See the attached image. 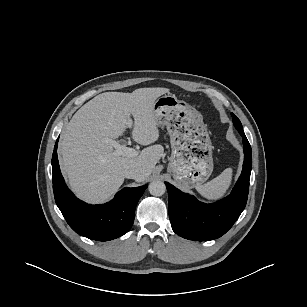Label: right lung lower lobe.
Returning <instances> with one entry per match:
<instances>
[{
	"label": "right lung lower lobe",
	"mask_w": 307,
	"mask_h": 307,
	"mask_svg": "<svg viewBox=\"0 0 307 307\" xmlns=\"http://www.w3.org/2000/svg\"><path fill=\"white\" fill-rule=\"evenodd\" d=\"M52 156L53 191L56 204L69 226L79 235L97 241H109L129 231L136 205L147 185L123 188L108 203L90 205L74 196L61 175L57 146Z\"/></svg>",
	"instance_id": "1"
}]
</instances>
